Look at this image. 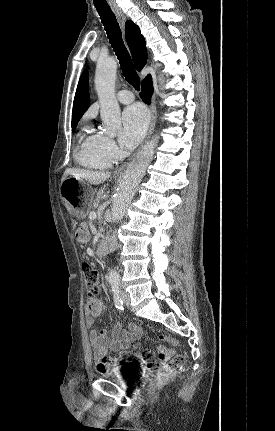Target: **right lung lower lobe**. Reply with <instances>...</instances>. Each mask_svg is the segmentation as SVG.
Returning a JSON list of instances; mask_svg holds the SVG:
<instances>
[{"label":"right lung lower lobe","instance_id":"right-lung-lower-lobe-1","mask_svg":"<svg viewBox=\"0 0 275 431\" xmlns=\"http://www.w3.org/2000/svg\"><path fill=\"white\" fill-rule=\"evenodd\" d=\"M142 92L140 96L145 103L150 104L151 96L153 94L152 77L151 75L146 76V78L141 82Z\"/></svg>","mask_w":275,"mask_h":431}]
</instances>
